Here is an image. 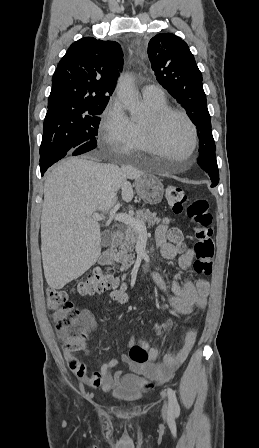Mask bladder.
Returning a JSON list of instances; mask_svg holds the SVG:
<instances>
[{
	"mask_svg": "<svg viewBox=\"0 0 259 448\" xmlns=\"http://www.w3.org/2000/svg\"><path fill=\"white\" fill-rule=\"evenodd\" d=\"M112 396L117 401L123 403H136L142 398V393L133 388H119L112 392Z\"/></svg>",
	"mask_w": 259,
	"mask_h": 448,
	"instance_id": "bladder-1",
	"label": "bladder"
}]
</instances>
